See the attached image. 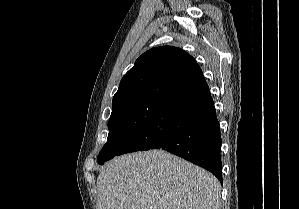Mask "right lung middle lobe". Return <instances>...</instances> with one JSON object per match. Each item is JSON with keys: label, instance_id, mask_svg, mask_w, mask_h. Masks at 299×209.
Segmentation results:
<instances>
[{"label": "right lung middle lobe", "instance_id": "obj_1", "mask_svg": "<svg viewBox=\"0 0 299 209\" xmlns=\"http://www.w3.org/2000/svg\"><path fill=\"white\" fill-rule=\"evenodd\" d=\"M161 103L145 101L112 108L107 143L98 155L99 164L118 153L141 131Z\"/></svg>", "mask_w": 299, "mask_h": 209}]
</instances>
